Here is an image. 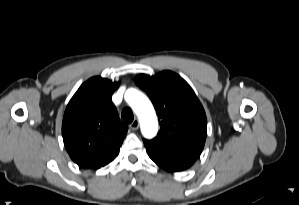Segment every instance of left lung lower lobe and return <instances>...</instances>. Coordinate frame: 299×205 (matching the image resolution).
<instances>
[{
  "label": "left lung lower lobe",
  "instance_id": "1",
  "mask_svg": "<svg viewBox=\"0 0 299 205\" xmlns=\"http://www.w3.org/2000/svg\"><path fill=\"white\" fill-rule=\"evenodd\" d=\"M144 145L149 157L169 172H179L191 167L204 147L202 143L180 139L144 140Z\"/></svg>",
  "mask_w": 299,
  "mask_h": 205
}]
</instances>
